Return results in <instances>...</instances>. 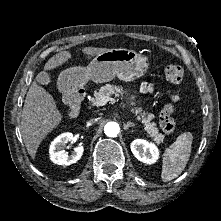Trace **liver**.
<instances>
[{"label":"liver","instance_id":"1","mask_svg":"<svg viewBox=\"0 0 221 221\" xmlns=\"http://www.w3.org/2000/svg\"><path fill=\"white\" fill-rule=\"evenodd\" d=\"M107 50L109 49L85 47L82 52L91 57ZM71 58L72 55L69 51L59 52L47 61L44 70L55 69ZM37 78L38 75L27 92L20 126L23 142L32 159L35 158L43 139L60 124L63 118L62 113L57 109L54 98L37 84Z\"/></svg>","mask_w":221,"mask_h":221}]
</instances>
